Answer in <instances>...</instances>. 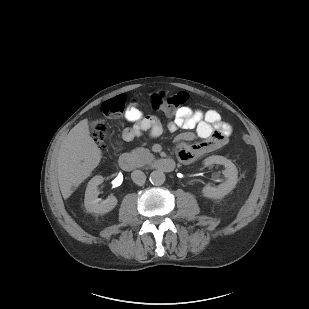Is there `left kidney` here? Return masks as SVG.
<instances>
[{
  "mask_svg": "<svg viewBox=\"0 0 309 309\" xmlns=\"http://www.w3.org/2000/svg\"><path fill=\"white\" fill-rule=\"evenodd\" d=\"M212 164H220L225 166V170L223 171L225 182L221 183L217 187L206 185L203 187L202 193L204 197L220 199L235 188L238 179V171L234 163L222 156L213 155L204 160L205 166H210Z\"/></svg>",
  "mask_w": 309,
  "mask_h": 309,
  "instance_id": "1",
  "label": "left kidney"
}]
</instances>
